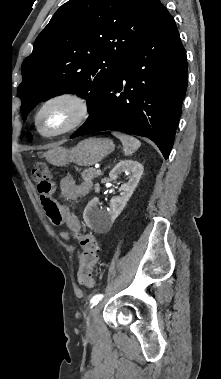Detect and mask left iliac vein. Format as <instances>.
Listing matches in <instances>:
<instances>
[{"mask_svg": "<svg viewBox=\"0 0 221 379\" xmlns=\"http://www.w3.org/2000/svg\"><path fill=\"white\" fill-rule=\"evenodd\" d=\"M99 306L92 308L87 316V330L92 334L98 329L99 323Z\"/></svg>", "mask_w": 221, "mask_h": 379, "instance_id": "4c4485c4", "label": "left iliac vein"}]
</instances>
